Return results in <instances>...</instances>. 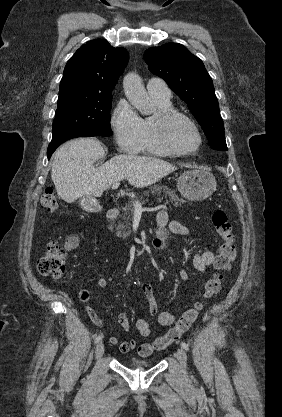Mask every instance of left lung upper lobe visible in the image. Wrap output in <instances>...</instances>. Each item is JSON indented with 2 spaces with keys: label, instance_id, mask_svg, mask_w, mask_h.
Segmentation results:
<instances>
[{
  "label": "left lung upper lobe",
  "instance_id": "5c2ea615",
  "mask_svg": "<svg viewBox=\"0 0 282 417\" xmlns=\"http://www.w3.org/2000/svg\"><path fill=\"white\" fill-rule=\"evenodd\" d=\"M144 59L149 70L163 78L188 104L210 146L216 150H227L213 81L203 62L178 43L149 48L144 53Z\"/></svg>",
  "mask_w": 282,
  "mask_h": 417
}]
</instances>
